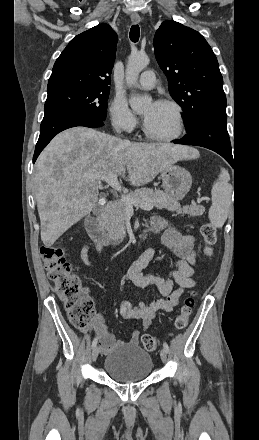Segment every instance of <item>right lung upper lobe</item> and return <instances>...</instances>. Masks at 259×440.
<instances>
[{
  "label": "right lung upper lobe",
  "instance_id": "1",
  "mask_svg": "<svg viewBox=\"0 0 259 440\" xmlns=\"http://www.w3.org/2000/svg\"><path fill=\"white\" fill-rule=\"evenodd\" d=\"M117 35L99 24L73 38L56 60L48 81V94L84 88L110 90Z\"/></svg>",
  "mask_w": 259,
  "mask_h": 440
}]
</instances>
